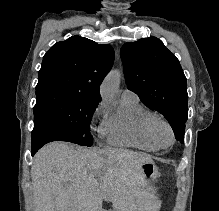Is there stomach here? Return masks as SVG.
Wrapping results in <instances>:
<instances>
[{
	"mask_svg": "<svg viewBox=\"0 0 219 211\" xmlns=\"http://www.w3.org/2000/svg\"><path fill=\"white\" fill-rule=\"evenodd\" d=\"M142 175L144 179H156L159 175L158 167L154 162H147L142 165Z\"/></svg>",
	"mask_w": 219,
	"mask_h": 211,
	"instance_id": "1",
	"label": "stomach"
}]
</instances>
